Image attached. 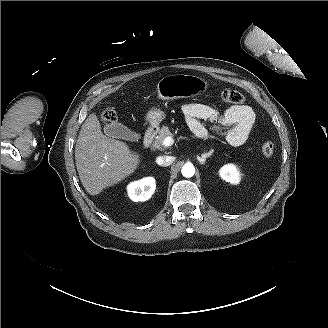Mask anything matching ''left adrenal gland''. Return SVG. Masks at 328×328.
I'll return each instance as SVG.
<instances>
[{
  "label": "left adrenal gland",
  "mask_w": 328,
  "mask_h": 328,
  "mask_svg": "<svg viewBox=\"0 0 328 328\" xmlns=\"http://www.w3.org/2000/svg\"><path fill=\"white\" fill-rule=\"evenodd\" d=\"M211 157H212V153L210 152L208 154L202 155L201 157L198 156L197 159L201 165H204L206 163V160Z\"/></svg>",
  "instance_id": "obj_1"
}]
</instances>
